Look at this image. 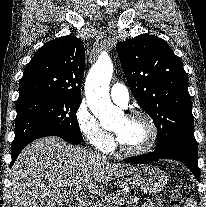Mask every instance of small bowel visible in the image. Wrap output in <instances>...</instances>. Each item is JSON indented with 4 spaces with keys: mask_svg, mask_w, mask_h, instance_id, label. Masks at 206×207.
<instances>
[{
    "mask_svg": "<svg viewBox=\"0 0 206 207\" xmlns=\"http://www.w3.org/2000/svg\"><path fill=\"white\" fill-rule=\"evenodd\" d=\"M144 207H161L160 203L155 202V203H147L146 206Z\"/></svg>",
    "mask_w": 206,
    "mask_h": 207,
    "instance_id": "1",
    "label": "small bowel"
}]
</instances>
